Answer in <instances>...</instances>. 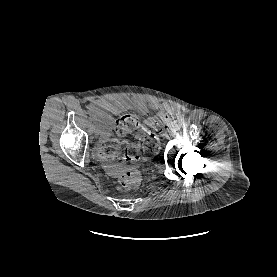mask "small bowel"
Returning a JSON list of instances; mask_svg holds the SVG:
<instances>
[{
	"label": "small bowel",
	"instance_id": "obj_1",
	"mask_svg": "<svg viewBox=\"0 0 277 277\" xmlns=\"http://www.w3.org/2000/svg\"><path fill=\"white\" fill-rule=\"evenodd\" d=\"M90 112L93 118L98 121L101 132L104 133L109 126L110 114L117 112L120 108L125 107L121 101L110 102L107 100H95L90 104ZM137 108L141 113H146L149 108L158 111L161 116H169L173 114L174 109L167 104H147L138 102ZM155 118L151 117L147 120L148 125H153ZM106 168L110 173H116V167L112 163H106Z\"/></svg>",
	"mask_w": 277,
	"mask_h": 277
}]
</instances>
